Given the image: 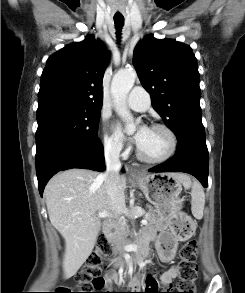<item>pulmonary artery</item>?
<instances>
[{"instance_id":"obj_1","label":"pulmonary artery","mask_w":245,"mask_h":293,"mask_svg":"<svg viewBox=\"0 0 245 293\" xmlns=\"http://www.w3.org/2000/svg\"><path fill=\"white\" fill-rule=\"evenodd\" d=\"M126 104L135 111H145L151 104L150 95L143 87H134L127 97Z\"/></svg>"}]
</instances>
